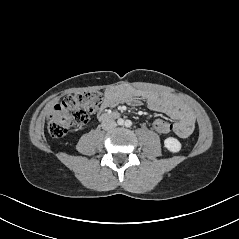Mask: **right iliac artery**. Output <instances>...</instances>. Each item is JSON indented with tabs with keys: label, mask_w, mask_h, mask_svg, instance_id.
<instances>
[{
	"label": "right iliac artery",
	"mask_w": 239,
	"mask_h": 239,
	"mask_svg": "<svg viewBox=\"0 0 239 239\" xmlns=\"http://www.w3.org/2000/svg\"><path fill=\"white\" fill-rule=\"evenodd\" d=\"M117 122H118L119 125H123L124 124V120L123 119H119Z\"/></svg>",
	"instance_id": "right-iliac-artery-1"
}]
</instances>
